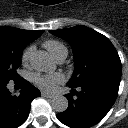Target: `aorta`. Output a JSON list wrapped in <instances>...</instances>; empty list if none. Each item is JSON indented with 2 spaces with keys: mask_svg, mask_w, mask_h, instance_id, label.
Wrapping results in <instances>:
<instances>
[{
  "mask_svg": "<svg viewBox=\"0 0 128 128\" xmlns=\"http://www.w3.org/2000/svg\"><path fill=\"white\" fill-rule=\"evenodd\" d=\"M32 65L35 70L51 73L56 70L55 61L45 51H38L32 58ZM52 108L56 112H64L68 108V100L63 95H57L52 99Z\"/></svg>",
  "mask_w": 128,
  "mask_h": 128,
  "instance_id": "obj_1",
  "label": "aorta"
}]
</instances>
